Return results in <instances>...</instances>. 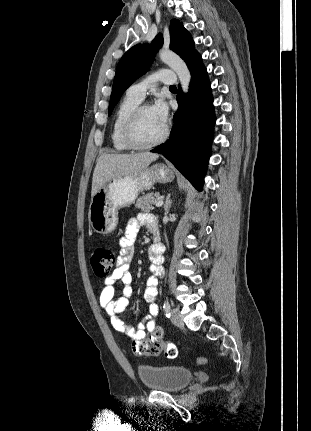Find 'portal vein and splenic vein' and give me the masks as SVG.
Here are the masks:
<instances>
[{"label": "portal vein and splenic vein", "mask_w": 311, "mask_h": 431, "mask_svg": "<svg viewBox=\"0 0 311 431\" xmlns=\"http://www.w3.org/2000/svg\"><path fill=\"white\" fill-rule=\"evenodd\" d=\"M163 204H164L163 200H157V202H155L156 208H161V206H163Z\"/></svg>", "instance_id": "portal-vein-and-splenic-vein-1"}]
</instances>
